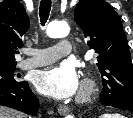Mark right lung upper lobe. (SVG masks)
<instances>
[{"mask_svg":"<svg viewBox=\"0 0 133 118\" xmlns=\"http://www.w3.org/2000/svg\"><path fill=\"white\" fill-rule=\"evenodd\" d=\"M29 29V18L19 0L0 2V63L15 62L21 37Z\"/></svg>","mask_w":133,"mask_h":118,"instance_id":"right-lung-upper-lobe-1","label":"right lung upper lobe"}]
</instances>
